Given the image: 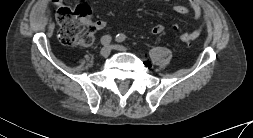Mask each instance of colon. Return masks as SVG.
Returning <instances> with one entry per match:
<instances>
[{
  "label": "colon",
  "mask_w": 253,
  "mask_h": 138,
  "mask_svg": "<svg viewBox=\"0 0 253 138\" xmlns=\"http://www.w3.org/2000/svg\"><path fill=\"white\" fill-rule=\"evenodd\" d=\"M90 8L85 4L74 7H61L57 11V22L60 26L59 39L67 46L89 45L96 31L94 22L90 21ZM199 34L179 32V39L184 45H190Z\"/></svg>",
  "instance_id": "1"
}]
</instances>
